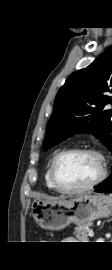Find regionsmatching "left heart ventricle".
I'll return each instance as SVG.
<instances>
[{
  "label": "left heart ventricle",
  "mask_w": 112,
  "mask_h": 270,
  "mask_svg": "<svg viewBox=\"0 0 112 270\" xmlns=\"http://www.w3.org/2000/svg\"><path fill=\"white\" fill-rule=\"evenodd\" d=\"M99 173L100 161L96 156L90 154L66 155L57 166L58 180L68 188L85 186L95 180Z\"/></svg>",
  "instance_id": "obj_1"
}]
</instances>
